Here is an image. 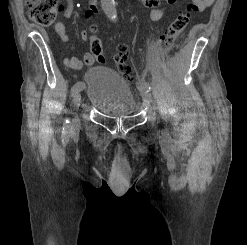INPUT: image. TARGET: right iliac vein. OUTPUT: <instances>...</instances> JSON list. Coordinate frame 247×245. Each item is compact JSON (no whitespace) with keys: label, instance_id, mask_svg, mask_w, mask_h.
Listing matches in <instances>:
<instances>
[{"label":"right iliac vein","instance_id":"right-iliac-vein-1","mask_svg":"<svg viewBox=\"0 0 247 245\" xmlns=\"http://www.w3.org/2000/svg\"><path fill=\"white\" fill-rule=\"evenodd\" d=\"M73 101H74L75 108H78L80 106V103H81V94H80V92H77V93L74 94ZM73 124H74V127L79 126L80 120H79V118L77 116H75Z\"/></svg>","mask_w":247,"mask_h":245}]
</instances>
